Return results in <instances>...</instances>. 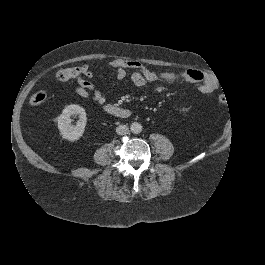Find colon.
Instances as JSON below:
<instances>
[{
    "instance_id": "obj_1",
    "label": "colon",
    "mask_w": 265,
    "mask_h": 265,
    "mask_svg": "<svg viewBox=\"0 0 265 265\" xmlns=\"http://www.w3.org/2000/svg\"><path fill=\"white\" fill-rule=\"evenodd\" d=\"M83 72H84V69L82 66L65 68V69L59 70L56 73V78L60 81H66V80L76 78V77L82 75ZM45 99H46V92L40 90V91L33 93L30 96L29 102L32 105H39V104L43 103L45 101ZM219 101H220V103H225V97L220 96Z\"/></svg>"
}]
</instances>
